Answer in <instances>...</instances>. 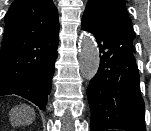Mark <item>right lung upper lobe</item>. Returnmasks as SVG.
<instances>
[{
  "mask_svg": "<svg viewBox=\"0 0 151 131\" xmlns=\"http://www.w3.org/2000/svg\"><path fill=\"white\" fill-rule=\"evenodd\" d=\"M0 89L39 71L58 44V12L52 0H15L4 20Z\"/></svg>",
  "mask_w": 151,
  "mask_h": 131,
  "instance_id": "1",
  "label": "right lung upper lobe"
}]
</instances>
